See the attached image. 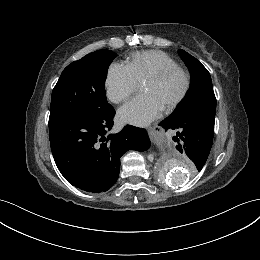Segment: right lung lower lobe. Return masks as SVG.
<instances>
[{
	"mask_svg": "<svg viewBox=\"0 0 260 260\" xmlns=\"http://www.w3.org/2000/svg\"><path fill=\"white\" fill-rule=\"evenodd\" d=\"M115 110L96 118L67 117L49 121L55 163L72 185L88 192L109 190L117 181L120 158L128 150L144 151L150 140L145 129L125 126L106 136L114 124Z\"/></svg>",
	"mask_w": 260,
	"mask_h": 260,
	"instance_id": "obj_1",
	"label": "right lung lower lobe"
}]
</instances>
